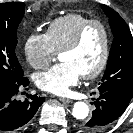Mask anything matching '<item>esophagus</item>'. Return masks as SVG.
Here are the masks:
<instances>
[{
    "mask_svg": "<svg viewBox=\"0 0 133 133\" xmlns=\"http://www.w3.org/2000/svg\"><path fill=\"white\" fill-rule=\"evenodd\" d=\"M59 100L63 103H71L72 100L71 99H68V98H63V97H60Z\"/></svg>",
    "mask_w": 133,
    "mask_h": 133,
    "instance_id": "1",
    "label": "esophagus"
}]
</instances>
